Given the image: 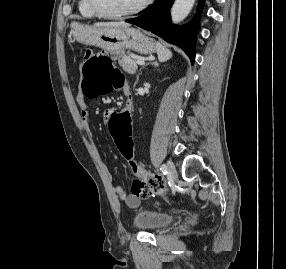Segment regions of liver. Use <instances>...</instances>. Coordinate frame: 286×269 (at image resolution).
<instances>
[{
	"instance_id": "liver-1",
	"label": "liver",
	"mask_w": 286,
	"mask_h": 269,
	"mask_svg": "<svg viewBox=\"0 0 286 269\" xmlns=\"http://www.w3.org/2000/svg\"><path fill=\"white\" fill-rule=\"evenodd\" d=\"M94 26L97 27H107V28H128L130 27L129 23L121 22H100L96 23Z\"/></svg>"
}]
</instances>
